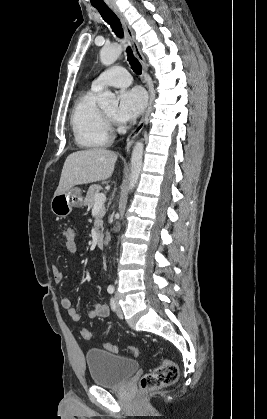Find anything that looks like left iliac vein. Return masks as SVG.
<instances>
[{"mask_svg":"<svg viewBox=\"0 0 267 419\" xmlns=\"http://www.w3.org/2000/svg\"><path fill=\"white\" fill-rule=\"evenodd\" d=\"M116 314L119 318H123V311L120 307V305L116 302Z\"/></svg>","mask_w":267,"mask_h":419,"instance_id":"4c4485c4","label":"left iliac vein"}]
</instances>
